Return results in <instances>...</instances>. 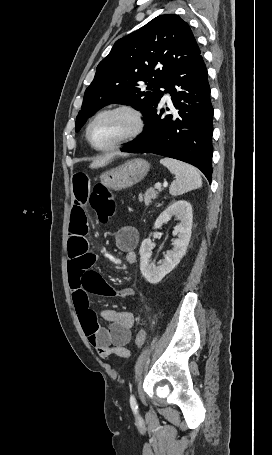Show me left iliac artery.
<instances>
[{
	"label": "left iliac artery",
	"mask_w": 272,
	"mask_h": 455,
	"mask_svg": "<svg viewBox=\"0 0 272 455\" xmlns=\"http://www.w3.org/2000/svg\"><path fill=\"white\" fill-rule=\"evenodd\" d=\"M130 406H131L133 412L137 413L138 405H137V402H136V399H135L134 395L130 396Z\"/></svg>",
	"instance_id": "obj_1"
}]
</instances>
